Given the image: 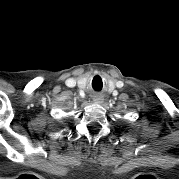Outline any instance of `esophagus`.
I'll list each match as a JSON object with an SVG mask.
<instances>
[{
	"label": "esophagus",
	"instance_id": "obj_1",
	"mask_svg": "<svg viewBox=\"0 0 179 179\" xmlns=\"http://www.w3.org/2000/svg\"><path fill=\"white\" fill-rule=\"evenodd\" d=\"M94 101L97 102V103H102L103 98L100 95H96Z\"/></svg>",
	"mask_w": 179,
	"mask_h": 179
}]
</instances>
